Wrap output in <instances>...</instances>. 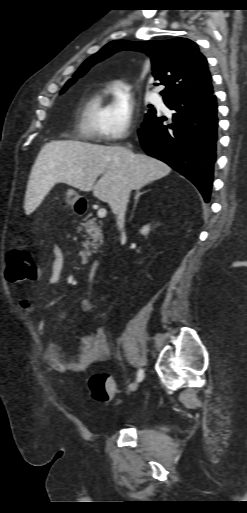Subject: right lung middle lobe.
Returning a JSON list of instances; mask_svg holds the SVG:
<instances>
[{"label": "right lung middle lobe", "instance_id": "right-lung-middle-lobe-1", "mask_svg": "<svg viewBox=\"0 0 247 513\" xmlns=\"http://www.w3.org/2000/svg\"><path fill=\"white\" fill-rule=\"evenodd\" d=\"M75 80H76V79H70V80L66 83V85L64 86V88L62 89V91H61V92H64V91H65V90H66V89H67V88H68L72 83H74V82H75ZM154 111H155L154 109H151V110H149V112H148V113H152V112H154ZM146 115H147V114H146Z\"/></svg>", "mask_w": 247, "mask_h": 513}]
</instances>
